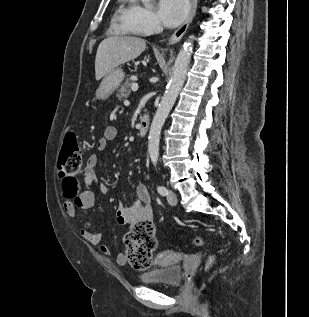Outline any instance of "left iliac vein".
<instances>
[{
    "mask_svg": "<svg viewBox=\"0 0 309 317\" xmlns=\"http://www.w3.org/2000/svg\"><path fill=\"white\" fill-rule=\"evenodd\" d=\"M167 201L170 205L175 206L177 204V196L174 191L169 190L167 193Z\"/></svg>",
    "mask_w": 309,
    "mask_h": 317,
    "instance_id": "obj_1",
    "label": "left iliac vein"
}]
</instances>
